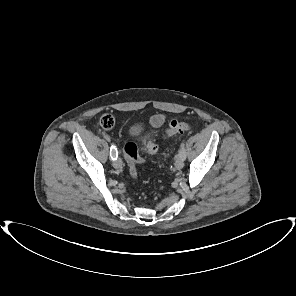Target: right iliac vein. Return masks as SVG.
<instances>
[{
	"mask_svg": "<svg viewBox=\"0 0 296 296\" xmlns=\"http://www.w3.org/2000/svg\"><path fill=\"white\" fill-rule=\"evenodd\" d=\"M113 166L115 168H121L122 167V160L120 158L116 159L113 163Z\"/></svg>",
	"mask_w": 296,
	"mask_h": 296,
	"instance_id": "63e3f726",
	"label": "right iliac vein"
}]
</instances>
